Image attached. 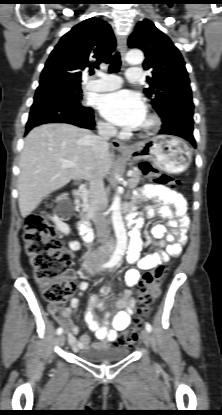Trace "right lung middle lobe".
<instances>
[{"label":"right lung middle lobe","mask_w":222,"mask_h":415,"mask_svg":"<svg viewBox=\"0 0 222 415\" xmlns=\"http://www.w3.org/2000/svg\"><path fill=\"white\" fill-rule=\"evenodd\" d=\"M64 84H65L66 89L68 90V92H70L78 100H81L82 90H81L80 85H74V84H71L67 81H64Z\"/></svg>","instance_id":"obj_1"}]
</instances>
